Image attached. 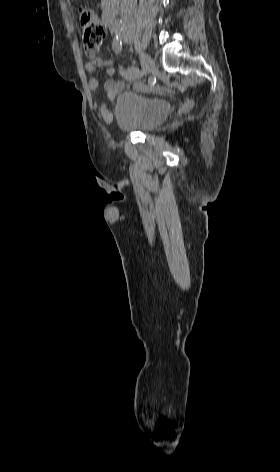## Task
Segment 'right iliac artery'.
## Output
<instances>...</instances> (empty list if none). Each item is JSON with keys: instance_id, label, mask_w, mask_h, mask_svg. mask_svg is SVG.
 Listing matches in <instances>:
<instances>
[{"instance_id": "82829eb1", "label": "right iliac artery", "mask_w": 280, "mask_h": 472, "mask_svg": "<svg viewBox=\"0 0 280 472\" xmlns=\"http://www.w3.org/2000/svg\"><path fill=\"white\" fill-rule=\"evenodd\" d=\"M112 30L115 34V38L112 43V48L116 53H119L122 50V41L120 38L122 29L120 25L116 24L113 26ZM128 71L135 79H139L143 76V73L137 67H129Z\"/></svg>"}]
</instances>
